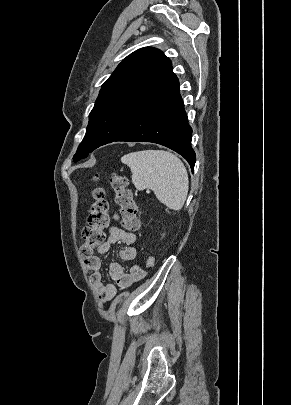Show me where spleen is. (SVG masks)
<instances>
[{
	"label": "spleen",
	"instance_id": "spleen-1",
	"mask_svg": "<svg viewBox=\"0 0 291 405\" xmlns=\"http://www.w3.org/2000/svg\"><path fill=\"white\" fill-rule=\"evenodd\" d=\"M122 163L132 172L137 190L149 188L169 209L180 210L186 200L189 180L182 161L164 150H142L124 155Z\"/></svg>",
	"mask_w": 291,
	"mask_h": 405
}]
</instances>
